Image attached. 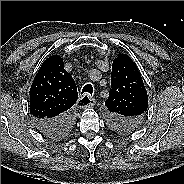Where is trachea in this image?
I'll list each match as a JSON object with an SVG mask.
<instances>
[{"instance_id":"1","label":"trachea","mask_w":184,"mask_h":184,"mask_svg":"<svg viewBox=\"0 0 184 184\" xmlns=\"http://www.w3.org/2000/svg\"><path fill=\"white\" fill-rule=\"evenodd\" d=\"M83 93H89V94L92 95V93H93V87H92V85H91V84H86V85L83 87V89H82V94H83Z\"/></svg>"}]
</instances>
